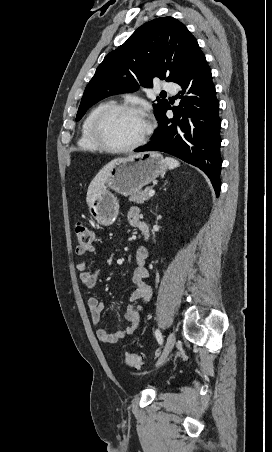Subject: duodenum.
I'll return each mask as SVG.
<instances>
[{"label": "duodenum", "instance_id": "obj_1", "mask_svg": "<svg viewBox=\"0 0 272 452\" xmlns=\"http://www.w3.org/2000/svg\"><path fill=\"white\" fill-rule=\"evenodd\" d=\"M137 227L140 229L144 237V240L148 241L150 237V231L147 222L144 220H139V222L137 223Z\"/></svg>", "mask_w": 272, "mask_h": 452}]
</instances>
